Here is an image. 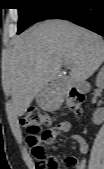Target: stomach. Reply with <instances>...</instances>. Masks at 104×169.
I'll return each instance as SVG.
<instances>
[{
    "mask_svg": "<svg viewBox=\"0 0 104 169\" xmlns=\"http://www.w3.org/2000/svg\"><path fill=\"white\" fill-rule=\"evenodd\" d=\"M49 90H50L49 87H45L44 89H42L39 92V94L37 96L38 104L45 109H48L52 106V103H53L54 98H55V95L50 94Z\"/></svg>",
    "mask_w": 104,
    "mask_h": 169,
    "instance_id": "1",
    "label": "stomach"
}]
</instances>
